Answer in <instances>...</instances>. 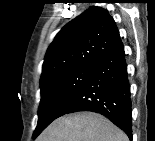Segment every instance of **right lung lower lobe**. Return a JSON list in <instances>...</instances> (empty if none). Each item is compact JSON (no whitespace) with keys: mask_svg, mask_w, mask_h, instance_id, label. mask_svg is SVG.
Returning <instances> with one entry per match:
<instances>
[{"mask_svg":"<svg viewBox=\"0 0 155 141\" xmlns=\"http://www.w3.org/2000/svg\"><path fill=\"white\" fill-rule=\"evenodd\" d=\"M130 95L124 46L119 40L97 64L59 117L79 111L97 112L109 118L132 140Z\"/></svg>","mask_w":155,"mask_h":141,"instance_id":"98d812e1","label":"right lung lower lobe"}]
</instances>
